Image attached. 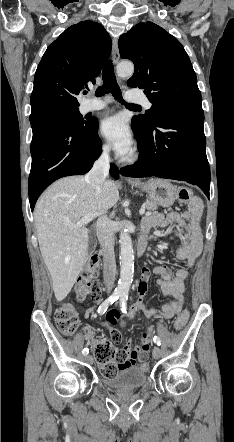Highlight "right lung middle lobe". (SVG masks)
Returning <instances> with one entry per match:
<instances>
[{"instance_id":"1","label":"right lung middle lobe","mask_w":234,"mask_h":442,"mask_svg":"<svg viewBox=\"0 0 234 442\" xmlns=\"http://www.w3.org/2000/svg\"><path fill=\"white\" fill-rule=\"evenodd\" d=\"M43 116L64 117L77 126H84L90 121L88 119L84 120L83 116L79 112L78 107H62L50 109L40 114L30 116V121Z\"/></svg>"}]
</instances>
